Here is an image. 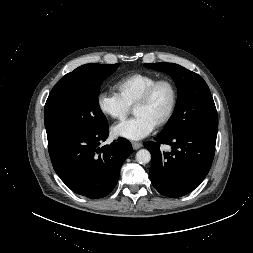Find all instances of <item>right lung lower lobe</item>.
Masks as SVG:
<instances>
[{
	"label": "right lung lower lobe",
	"mask_w": 253,
	"mask_h": 253,
	"mask_svg": "<svg viewBox=\"0 0 253 253\" xmlns=\"http://www.w3.org/2000/svg\"><path fill=\"white\" fill-rule=\"evenodd\" d=\"M107 138L108 124L94 131L67 132L48 138L54 170L76 194L98 199L108 195L117 184L120 168L133 149L124 138L99 148Z\"/></svg>",
	"instance_id": "right-lung-lower-lobe-1"
}]
</instances>
